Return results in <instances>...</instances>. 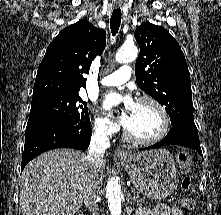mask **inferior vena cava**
Segmentation results:
<instances>
[{
    "mask_svg": "<svg viewBox=\"0 0 221 215\" xmlns=\"http://www.w3.org/2000/svg\"><path fill=\"white\" fill-rule=\"evenodd\" d=\"M110 147L108 133L103 128H96L92 135L86 160L91 164V177L88 181L84 202L92 215H99L97 198L100 193L99 168L104 159L105 151Z\"/></svg>",
    "mask_w": 221,
    "mask_h": 215,
    "instance_id": "obj_1",
    "label": "inferior vena cava"
}]
</instances>
